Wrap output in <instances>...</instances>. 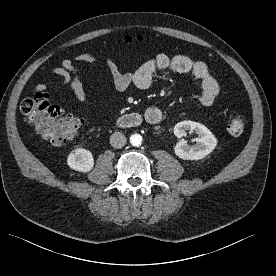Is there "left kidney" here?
I'll return each instance as SVG.
<instances>
[{"instance_id":"1","label":"left kidney","mask_w":276,"mask_h":276,"mask_svg":"<svg viewBox=\"0 0 276 276\" xmlns=\"http://www.w3.org/2000/svg\"><path fill=\"white\" fill-rule=\"evenodd\" d=\"M187 131L195 132L198 135L196 144L191 147L187 144V141L181 139L174 148V152L179 158L183 160H199L215 149L217 139L203 124L193 121H182L174 127V134L178 138L185 136Z\"/></svg>"}]
</instances>
